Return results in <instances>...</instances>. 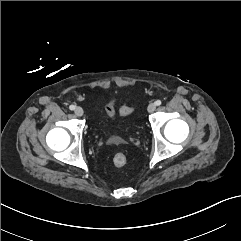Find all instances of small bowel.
<instances>
[{"instance_id":"c3829d8e","label":"small bowel","mask_w":241,"mask_h":241,"mask_svg":"<svg viewBox=\"0 0 241 241\" xmlns=\"http://www.w3.org/2000/svg\"><path fill=\"white\" fill-rule=\"evenodd\" d=\"M108 113H109L110 115H112V114H113V111H111L110 109H108Z\"/></svg>"}]
</instances>
